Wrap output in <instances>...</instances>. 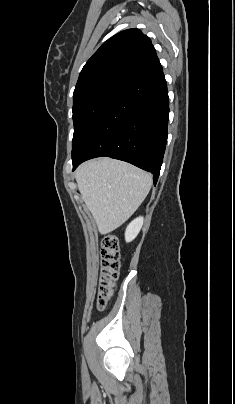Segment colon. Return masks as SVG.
Returning <instances> with one entry per match:
<instances>
[{
  "instance_id": "obj_1",
  "label": "colon",
  "mask_w": 235,
  "mask_h": 404,
  "mask_svg": "<svg viewBox=\"0 0 235 404\" xmlns=\"http://www.w3.org/2000/svg\"><path fill=\"white\" fill-rule=\"evenodd\" d=\"M120 254L117 238L107 235L101 243V273L99 278L97 307L104 310L112 297L120 269Z\"/></svg>"
}]
</instances>
